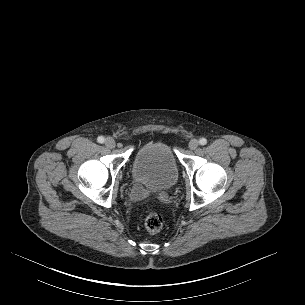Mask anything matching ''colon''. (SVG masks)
I'll list each match as a JSON object with an SVG mask.
<instances>
[{
	"label": "colon",
	"mask_w": 305,
	"mask_h": 305,
	"mask_svg": "<svg viewBox=\"0 0 305 305\" xmlns=\"http://www.w3.org/2000/svg\"><path fill=\"white\" fill-rule=\"evenodd\" d=\"M144 225L150 233H157L163 227V218L158 213L149 212L145 216Z\"/></svg>",
	"instance_id": "colon-1"
}]
</instances>
